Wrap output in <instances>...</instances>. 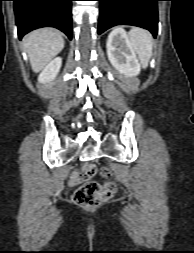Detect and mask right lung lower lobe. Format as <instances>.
<instances>
[{
  "label": "right lung lower lobe",
  "instance_id": "obj_1",
  "mask_svg": "<svg viewBox=\"0 0 194 253\" xmlns=\"http://www.w3.org/2000/svg\"><path fill=\"white\" fill-rule=\"evenodd\" d=\"M12 1L20 39L31 30L41 27H55L72 39V0Z\"/></svg>",
  "mask_w": 194,
  "mask_h": 253
}]
</instances>
